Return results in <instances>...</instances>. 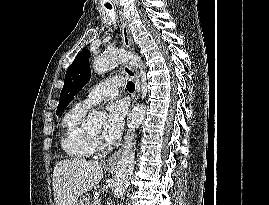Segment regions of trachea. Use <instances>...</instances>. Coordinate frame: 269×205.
<instances>
[{
	"label": "trachea",
	"instance_id": "3493384b",
	"mask_svg": "<svg viewBox=\"0 0 269 205\" xmlns=\"http://www.w3.org/2000/svg\"><path fill=\"white\" fill-rule=\"evenodd\" d=\"M106 8L107 9H111V6L110 5H106ZM126 88L129 92H133L135 90V84L132 82V81H128L127 82V85H126Z\"/></svg>",
	"mask_w": 269,
	"mask_h": 205
}]
</instances>
